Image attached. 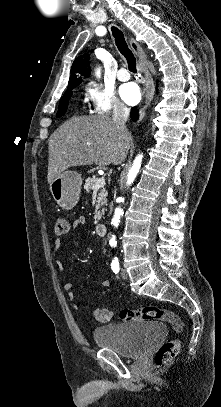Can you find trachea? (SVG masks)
<instances>
[{
  "label": "trachea",
  "instance_id": "3493384b",
  "mask_svg": "<svg viewBox=\"0 0 221 407\" xmlns=\"http://www.w3.org/2000/svg\"><path fill=\"white\" fill-rule=\"evenodd\" d=\"M112 33L115 38V43L121 54L127 59L129 70L136 73V59L129 49L123 33L116 27H112Z\"/></svg>",
  "mask_w": 221,
  "mask_h": 407
}]
</instances>
